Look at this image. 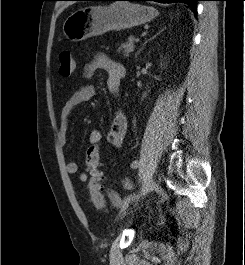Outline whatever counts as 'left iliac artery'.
<instances>
[{
  "label": "left iliac artery",
  "instance_id": "1",
  "mask_svg": "<svg viewBox=\"0 0 245 265\" xmlns=\"http://www.w3.org/2000/svg\"><path fill=\"white\" fill-rule=\"evenodd\" d=\"M139 165H140L139 161L135 160V161L132 162V164H131V168L135 169V168H137ZM124 209H126V204H125V206H123V210H124Z\"/></svg>",
  "mask_w": 245,
  "mask_h": 265
}]
</instances>
